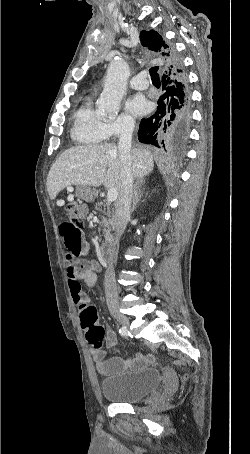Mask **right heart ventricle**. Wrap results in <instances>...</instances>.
Here are the masks:
<instances>
[{
  "instance_id": "1",
  "label": "right heart ventricle",
  "mask_w": 250,
  "mask_h": 454,
  "mask_svg": "<svg viewBox=\"0 0 250 454\" xmlns=\"http://www.w3.org/2000/svg\"><path fill=\"white\" fill-rule=\"evenodd\" d=\"M105 124L106 122L95 112L91 102H86L74 115L71 138L80 145H99L108 138Z\"/></svg>"
}]
</instances>
